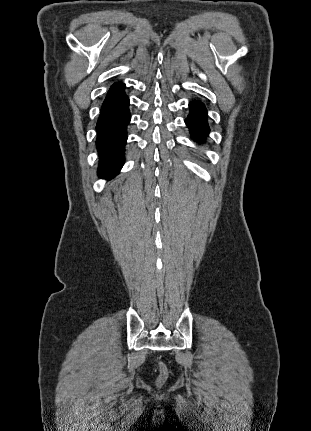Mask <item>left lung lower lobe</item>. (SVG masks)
I'll return each mask as SVG.
<instances>
[{
	"label": "left lung lower lobe",
	"mask_w": 311,
	"mask_h": 431,
	"mask_svg": "<svg viewBox=\"0 0 311 431\" xmlns=\"http://www.w3.org/2000/svg\"><path fill=\"white\" fill-rule=\"evenodd\" d=\"M189 106L190 114L185 123L190 129L192 138L203 141L209 133L206 109L200 102H191Z\"/></svg>",
	"instance_id": "left-lung-lower-lobe-1"
}]
</instances>
